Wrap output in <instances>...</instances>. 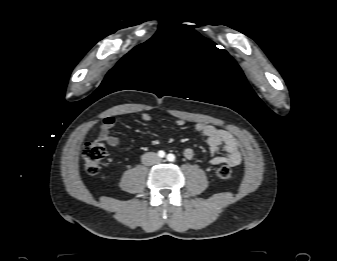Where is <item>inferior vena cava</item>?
Segmentation results:
<instances>
[{
  "label": "inferior vena cava",
  "mask_w": 337,
  "mask_h": 261,
  "mask_svg": "<svg viewBox=\"0 0 337 261\" xmlns=\"http://www.w3.org/2000/svg\"><path fill=\"white\" fill-rule=\"evenodd\" d=\"M160 158L154 152L145 153L142 156V163L147 166H152L160 162Z\"/></svg>",
  "instance_id": "inferior-vena-cava-1"
}]
</instances>
